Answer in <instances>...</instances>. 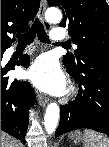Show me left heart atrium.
Here are the masks:
<instances>
[{
    "label": "left heart atrium",
    "instance_id": "left-heart-atrium-1",
    "mask_svg": "<svg viewBox=\"0 0 109 147\" xmlns=\"http://www.w3.org/2000/svg\"><path fill=\"white\" fill-rule=\"evenodd\" d=\"M30 80L41 90L62 95L67 91V79L57 60L51 55L40 57L28 72Z\"/></svg>",
    "mask_w": 109,
    "mask_h": 147
}]
</instances>
